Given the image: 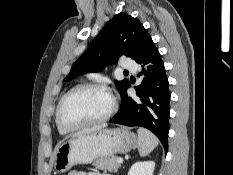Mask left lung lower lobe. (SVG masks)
<instances>
[{
  "label": "left lung lower lobe",
  "mask_w": 233,
  "mask_h": 175,
  "mask_svg": "<svg viewBox=\"0 0 233 175\" xmlns=\"http://www.w3.org/2000/svg\"><path fill=\"white\" fill-rule=\"evenodd\" d=\"M136 62L141 65L138 75L143 78L135 87L136 97H128L129 83L121 94V108L109 122L149 129L159 138L167 153L170 92L165 67L155 44Z\"/></svg>",
  "instance_id": "left-lung-lower-lobe-1"
}]
</instances>
